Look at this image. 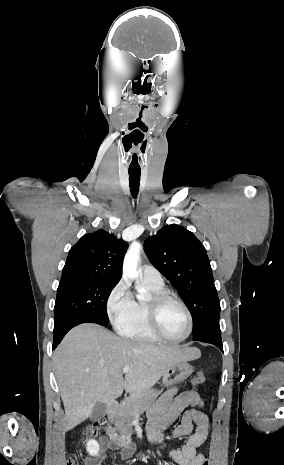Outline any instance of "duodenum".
I'll return each instance as SVG.
<instances>
[{
	"label": "duodenum",
	"mask_w": 284,
	"mask_h": 465,
	"mask_svg": "<svg viewBox=\"0 0 284 465\" xmlns=\"http://www.w3.org/2000/svg\"><path fill=\"white\" fill-rule=\"evenodd\" d=\"M119 408V405L117 402H111L109 404V406L106 408V413H105V416L107 418H112L115 414V412L118 410ZM105 434L108 438H110L113 442H116L117 441V437L116 435L114 434V432L112 430H110L108 427H105Z\"/></svg>",
	"instance_id": "duodenum-1"
}]
</instances>
